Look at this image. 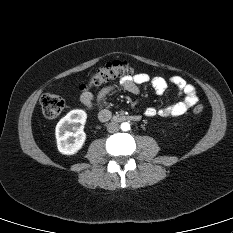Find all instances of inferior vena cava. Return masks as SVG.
Returning a JSON list of instances; mask_svg holds the SVG:
<instances>
[{
  "label": "inferior vena cava",
  "mask_w": 233,
  "mask_h": 233,
  "mask_svg": "<svg viewBox=\"0 0 233 233\" xmlns=\"http://www.w3.org/2000/svg\"><path fill=\"white\" fill-rule=\"evenodd\" d=\"M119 124L116 123V122H110L107 124V131L109 133H115V132H118L119 131Z\"/></svg>",
  "instance_id": "obj_1"
}]
</instances>
